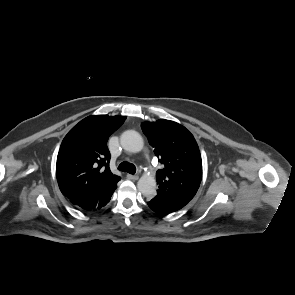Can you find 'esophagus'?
<instances>
[{
  "label": "esophagus",
  "mask_w": 295,
  "mask_h": 295,
  "mask_svg": "<svg viewBox=\"0 0 295 295\" xmlns=\"http://www.w3.org/2000/svg\"><path fill=\"white\" fill-rule=\"evenodd\" d=\"M127 178L130 180H137L139 178L138 175L127 174Z\"/></svg>",
  "instance_id": "1"
}]
</instances>
